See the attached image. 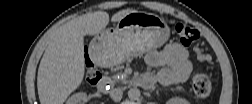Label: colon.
<instances>
[{
  "mask_svg": "<svg viewBox=\"0 0 252 104\" xmlns=\"http://www.w3.org/2000/svg\"><path fill=\"white\" fill-rule=\"evenodd\" d=\"M175 34L178 39V41L184 45V46H190L194 42H196L200 34L199 32L193 28L192 26L183 23L178 22L174 26ZM197 57L201 61L210 62L211 57L205 54H202L200 51H197ZM101 75L97 68L93 65L92 62L88 61L86 63L85 67V74H84V84L85 86L93 85L95 84L99 79ZM192 86L194 93L199 98H206L210 95L212 86L209 78L201 73L195 74L192 77Z\"/></svg>",
  "mask_w": 252,
  "mask_h": 104,
  "instance_id": "colon-1",
  "label": "colon"
}]
</instances>
